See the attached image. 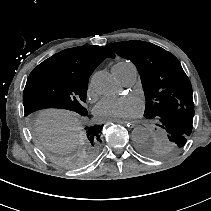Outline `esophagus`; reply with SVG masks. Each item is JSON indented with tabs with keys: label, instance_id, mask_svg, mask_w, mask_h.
I'll return each mask as SVG.
<instances>
[{
	"label": "esophagus",
	"instance_id": "1",
	"mask_svg": "<svg viewBox=\"0 0 211 211\" xmlns=\"http://www.w3.org/2000/svg\"><path fill=\"white\" fill-rule=\"evenodd\" d=\"M112 122H116V123H120V124H125L127 129H132L133 125L131 122H127V121H124V120H112Z\"/></svg>",
	"mask_w": 211,
	"mask_h": 211
}]
</instances>
